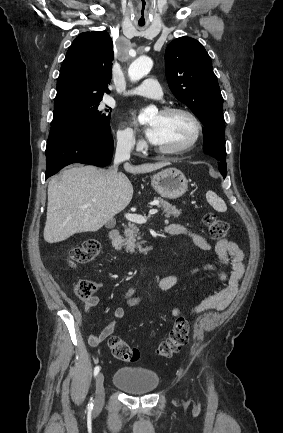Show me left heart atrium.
<instances>
[{
	"label": "left heart atrium",
	"mask_w": 283,
	"mask_h": 433,
	"mask_svg": "<svg viewBox=\"0 0 283 433\" xmlns=\"http://www.w3.org/2000/svg\"><path fill=\"white\" fill-rule=\"evenodd\" d=\"M145 135L148 139V141L151 143V145H153L154 147H156L159 143V133L156 127H149L145 130Z\"/></svg>",
	"instance_id": "39dd6f15"
}]
</instances>
